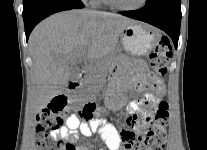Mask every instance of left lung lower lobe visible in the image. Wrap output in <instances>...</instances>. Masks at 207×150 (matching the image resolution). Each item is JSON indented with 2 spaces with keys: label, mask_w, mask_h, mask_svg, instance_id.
Listing matches in <instances>:
<instances>
[{
  "label": "left lung lower lobe",
  "mask_w": 207,
  "mask_h": 150,
  "mask_svg": "<svg viewBox=\"0 0 207 150\" xmlns=\"http://www.w3.org/2000/svg\"><path fill=\"white\" fill-rule=\"evenodd\" d=\"M180 5V0H155L139 10L120 13L162 29L171 37L177 48L181 23Z\"/></svg>",
  "instance_id": "0a47b994"
}]
</instances>
